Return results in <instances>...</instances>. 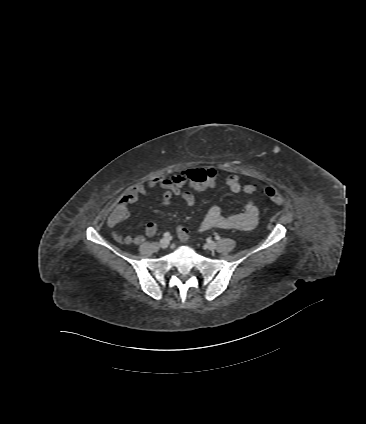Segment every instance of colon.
<instances>
[{
    "label": "colon",
    "instance_id": "1",
    "mask_svg": "<svg viewBox=\"0 0 366 424\" xmlns=\"http://www.w3.org/2000/svg\"><path fill=\"white\" fill-rule=\"evenodd\" d=\"M187 181H189L193 188H202L207 182H209L215 175L211 169H193L188 170L182 173ZM256 185L247 184L245 185V192L247 194H252L256 191ZM264 193L277 205L282 206L284 204V199L281 194L271 186H265L263 189ZM122 216H128V210H121Z\"/></svg>",
    "mask_w": 366,
    "mask_h": 424
}]
</instances>
